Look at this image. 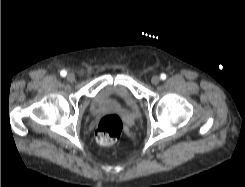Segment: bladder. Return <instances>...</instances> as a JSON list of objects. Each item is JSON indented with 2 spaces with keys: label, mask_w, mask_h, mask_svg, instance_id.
Instances as JSON below:
<instances>
[{
  "label": "bladder",
  "mask_w": 245,
  "mask_h": 187,
  "mask_svg": "<svg viewBox=\"0 0 245 187\" xmlns=\"http://www.w3.org/2000/svg\"><path fill=\"white\" fill-rule=\"evenodd\" d=\"M91 109L95 113L123 112L126 116L136 114L137 103L131 92L121 84L103 87L91 98Z\"/></svg>",
  "instance_id": "1"
}]
</instances>
